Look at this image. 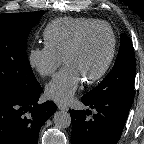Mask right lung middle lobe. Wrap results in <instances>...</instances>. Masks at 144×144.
I'll return each instance as SVG.
<instances>
[{
    "label": "right lung middle lobe",
    "mask_w": 144,
    "mask_h": 144,
    "mask_svg": "<svg viewBox=\"0 0 144 144\" xmlns=\"http://www.w3.org/2000/svg\"><path fill=\"white\" fill-rule=\"evenodd\" d=\"M44 13L39 11L0 15V92H26L39 84L25 49L31 29Z\"/></svg>",
    "instance_id": "right-lung-middle-lobe-1"
}]
</instances>
